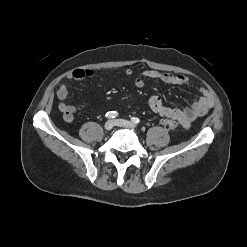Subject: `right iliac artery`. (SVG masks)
<instances>
[{"label": "right iliac artery", "instance_id": "82829eb1", "mask_svg": "<svg viewBox=\"0 0 247 247\" xmlns=\"http://www.w3.org/2000/svg\"><path fill=\"white\" fill-rule=\"evenodd\" d=\"M118 116V113L116 111H110L106 113V118L113 119Z\"/></svg>", "mask_w": 247, "mask_h": 247}]
</instances>
